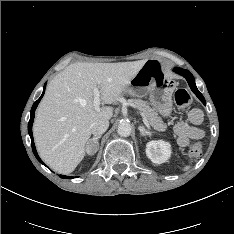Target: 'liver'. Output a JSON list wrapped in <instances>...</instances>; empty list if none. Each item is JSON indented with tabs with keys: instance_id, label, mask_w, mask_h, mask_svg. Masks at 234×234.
Wrapping results in <instances>:
<instances>
[{
	"instance_id": "6515ba94",
	"label": "liver",
	"mask_w": 234,
	"mask_h": 234,
	"mask_svg": "<svg viewBox=\"0 0 234 234\" xmlns=\"http://www.w3.org/2000/svg\"><path fill=\"white\" fill-rule=\"evenodd\" d=\"M145 62H78L56 75L47 86L33 125L42 160L58 173L74 171L85 156L91 125L113 116L111 107H94L93 89L100 90L103 103L112 104Z\"/></svg>"
}]
</instances>
